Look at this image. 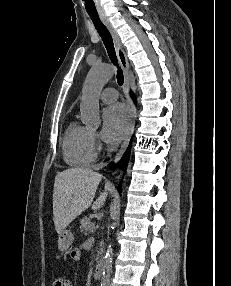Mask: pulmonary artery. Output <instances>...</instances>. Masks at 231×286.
<instances>
[{"label":"pulmonary artery","mask_w":231,"mask_h":286,"mask_svg":"<svg viewBox=\"0 0 231 286\" xmlns=\"http://www.w3.org/2000/svg\"><path fill=\"white\" fill-rule=\"evenodd\" d=\"M100 99L105 103H112L118 99V91L115 88H105L101 94Z\"/></svg>","instance_id":"e3ab8cb5"}]
</instances>
